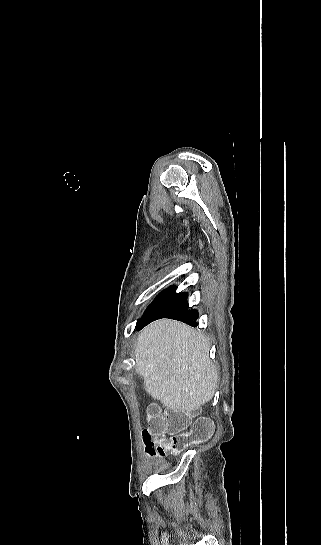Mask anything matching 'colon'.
Here are the masks:
<instances>
[{
  "label": "colon",
  "mask_w": 321,
  "mask_h": 545,
  "mask_svg": "<svg viewBox=\"0 0 321 545\" xmlns=\"http://www.w3.org/2000/svg\"><path fill=\"white\" fill-rule=\"evenodd\" d=\"M193 413V410H163L156 405L150 406L143 429L146 452L151 456L178 454L190 445L208 441L214 430L210 419L198 418L186 430Z\"/></svg>",
  "instance_id": "colon-1"
}]
</instances>
